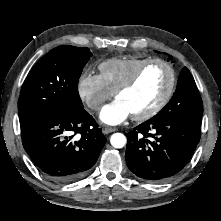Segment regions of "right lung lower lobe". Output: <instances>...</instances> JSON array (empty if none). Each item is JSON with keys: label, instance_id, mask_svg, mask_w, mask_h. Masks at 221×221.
Listing matches in <instances>:
<instances>
[{"label": "right lung lower lobe", "instance_id": "1", "mask_svg": "<svg viewBox=\"0 0 221 221\" xmlns=\"http://www.w3.org/2000/svg\"><path fill=\"white\" fill-rule=\"evenodd\" d=\"M20 128L24 149L34 165L58 183L85 176L106 143L102 130L85 109L43 116Z\"/></svg>", "mask_w": 221, "mask_h": 221}]
</instances>
